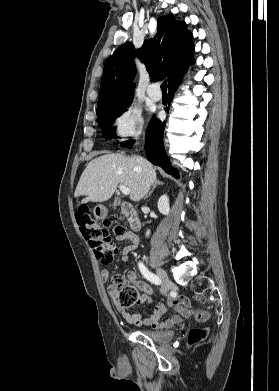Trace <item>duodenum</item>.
<instances>
[{
    "label": "duodenum",
    "instance_id": "obj_1",
    "mask_svg": "<svg viewBox=\"0 0 279 391\" xmlns=\"http://www.w3.org/2000/svg\"><path fill=\"white\" fill-rule=\"evenodd\" d=\"M120 207L121 211L126 216L131 229L134 232H137L141 227V223L135 209L129 203L126 202H123Z\"/></svg>",
    "mask_w": 279,
    "mask_h": 391
}]
</instances>
